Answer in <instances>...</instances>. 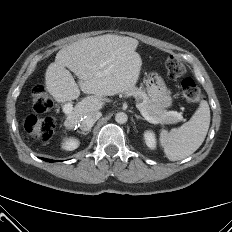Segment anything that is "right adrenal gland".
Returning <instances> with one entry per match:
<instances>
[{"instance_id": "obj_1", "label": "right adrenal gland", "mask_w": 232, "mask_h": 232, "mask_svg": "<svg viewBox=\"0 0 232 232\" xmlns=\"http://www.w3.org/2000/svg\"><path fill=\"white\" fill-rule=\"evenodd\" d=\"M77 132L79 133V134H83V135H87V134H89L90 132H91V129H89L88 131H79V130H77Z\"/></svg>"}]
</instances>
